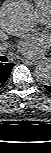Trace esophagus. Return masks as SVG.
I'll use <instances>...</instances> for the list:
<instances>
[{"instance_id":"1","label":"esophagus","mask_w":51,"mask_h":153,"mask_svg":"<svg viewBox=\"0 0 51 153\" xmlns=\"http://www.w3.org/2000/svg\"><path fill=\"white\" fill-rule=\"evenodd\" d=\"M24 62L26 63V64H28V65H37L38 64V62L37 61H34V60H24Z\"/></svg>"}]
</instances>
